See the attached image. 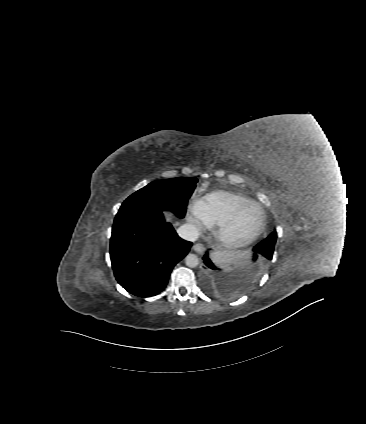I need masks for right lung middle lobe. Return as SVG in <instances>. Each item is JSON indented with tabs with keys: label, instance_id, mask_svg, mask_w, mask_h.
<instances>
[{
	"label": "right lung middle lobe",
	"instance_id": "right-lung-middle-lobe-1",
	"mask_svg": "<svg viewBox=\"0 0 366 424\" xmlns=\"http://www.w3.org/2000/svg\"><path fill=\"white\" fill-rule=\"evenodd\" d=\"M197 181L196 178H172L151 182L129 196L117 215L132 211L170 210L183 218Z\"/></svg>",
	"mask_w": 366,
	"mask_h": 424
}]
</instances>
